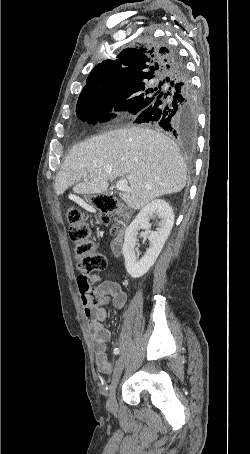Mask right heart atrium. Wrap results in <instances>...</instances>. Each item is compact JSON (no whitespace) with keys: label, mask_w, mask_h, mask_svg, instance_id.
Wrapping results in <instances>:
<instances>
[{"label":"right heart atrium","mask_w":250,"mask_h":454,"mask_svg":"<svg viewBox=\"0 0 250 454\" xmlns=\"http://www.w3.org/2000/svg\"><path fill=\"white\" fill-rule=\"evenodd\" d=\"M122 114H123V109L118 106H114L109 109V111L107 113V119L109 122H114V121L118 120L122 116Z\"/></svg>","instance_id":"obj_1"}]
</instances>
